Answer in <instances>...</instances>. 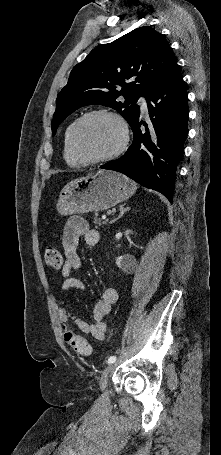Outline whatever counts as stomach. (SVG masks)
<instances>
[{"mask_svg":"<svg viewBox=\"0 0 221 455\" xmlns=\"http://www.w3.org/2000/svg\"><path fill=\"white\" fill-rule=\"evenodd\" d=\"M137 185L126 176L110 171L78 178L60 192L56 205L61 215L107 210L130 198Z\"/></svg>","mask_w":221,"mask_h":455,"instance_id":"1","label":"stomach"}]
</instances>
